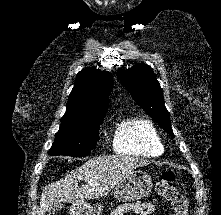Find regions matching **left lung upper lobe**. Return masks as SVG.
<instances>
[{
	"label": "left lung upper lobe",
	"instance_id": "5c2ea615",
	"mask_svg": "<svg viewBox=\"0 0 221 215\" xmlns=\"http://www.w3.org/2000/svg\"><path fill=\"white\" fill-rule=\"evenodd\" d=\"M117 76L142 109L174 137L169 113L164 105L163 92L153 69L140 63L128 70H118Z\"/></svg>",
	"mask_w": 221,
	"mask_h": 215
}]
</instances>
